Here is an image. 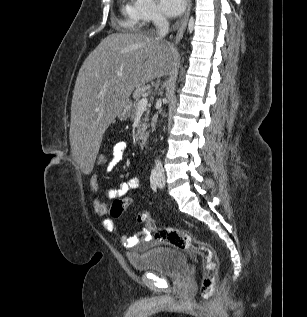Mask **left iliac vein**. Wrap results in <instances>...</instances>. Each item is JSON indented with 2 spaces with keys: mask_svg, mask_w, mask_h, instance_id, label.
<instances>
[{
  "mask_svg": "<svg viewBox=\"0 0 307 317\" xmlns=\"http://www.w3.org/2000/svg\"><path fill=\"white\" fill-rule=\"evenodd\" d=\"M164 186V179L159 177V187L162 188Z\"/></svg>",
  "mask_w": 307,
  "mask_h": 317,
  "instance_id": "obj_1",
  "label": "left iliac vein"
}]
</instances>
